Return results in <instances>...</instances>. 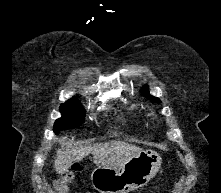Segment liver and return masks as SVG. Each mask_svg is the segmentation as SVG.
Wrapping results in <instances>:
<instances>
[{
    "instance_id": "1",
    "label": "liver",
    "mask_w": 221,
    "mask_h": 193,
    "mask_svg": "<svg viewBox=\"0 0 221 193\" xmlns=\"http://www.w3.org/2000/svg\"><path fill=\"white\" fill-rule=\"evenodd\" d=\"M141 151L140 147L120 140L87 146L66 142L56 152L54 169L58 174L63 175L73 163L82 161L89 154L93 155V162L97 166L117 168Z\"/></svg>"
}]
</instances>
